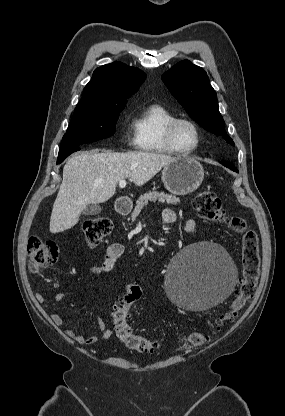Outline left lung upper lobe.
Masks as SVG:
<instances>
[{
    "label": "left lung upper lobe",
    "mask_w": 285,
    "mask_h": 416,
    "mask_svg": "<svg viewBox=\"0 0 285 416\" xmlns=\"http://www.w3.org/2000/svg\"><path fill=\"white\" fill-rule=\"evenodd\" d=\"M162 80L187 113L204 129L222 136L234 146L227 135L219 112L217 94L206 72L188 60L181 61L162 75Z\"/></svg>",
    "instance_id": "left-lung-upper-lobe-1"
}]
</instances>
